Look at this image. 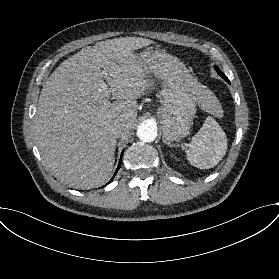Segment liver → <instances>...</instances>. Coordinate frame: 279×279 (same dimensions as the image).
<instances>
[{"instance_id":"1","label":"liver","mask_w":279,"mask_h":279,"mask_svg":"<svg viewBox=\"0 0 279 279\" xmlns=\"http://www.w3.org/2000/svg\"><path fill=\"white\" fill-rule=\"evenodd\" d=\"M153 43L121 37L86 46L43 85L35 135L42 158L62 183L89 189L109 180L117 144L112 129L126 124L129 133L137 118L136 99L151 85L145 62L134 51ZM186 82L199 100L202 86L192 75Z\"/></svg>"}]
</instances>
